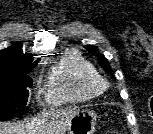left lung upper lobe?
Masks as SVG:
<instances>
[{
    "label": "left lung upper lobe",
    "mask_w": 153,
    "mask_h": 134,
    "mask_svg": "<svg viewBox=\"0 0 153 134\" xmlns=\"http://www.w3.org/2000/svg\"><path fill=\"white\" fill-rule=\"evenodd\" d=\"M92 55H97L98 49L96 47H93L91 45L84 46ZM98 61L101 66H103L108 72H111L110 66L107 63L106 58L103 55H99Z\"/></svg>",
    "instance_id": "5c2ea615"
}]
</instances>
